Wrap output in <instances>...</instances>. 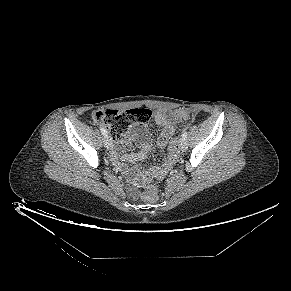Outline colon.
Instances as JSON below:
<instances>
[{
	"label": "colon",
	"instance_id": "obj_1",
	"mask_svg": "<svg viewBox=\"0 0 291 291\" xmlns=\"http://www.w3.org/2000/svg\"><path fill=\"white\" fill-rule=\"evenodd\" d=\"M193 116L191 110H178L174 117L188 119ZM151 111L146 108H135L131 110H107L99 111L94 114V120L102 123L108 130L110 136L118 141L128 143L129 134L133 127L143 125L149 121ZM144 200L154 202L158 198L157 189L153 186L148 187L142 194Z\"/></svg>",
	"mask_w": 291,
	"mask_h": 291
}]
</instances>
